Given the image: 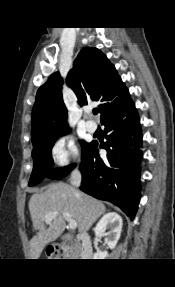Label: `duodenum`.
Returning <instances> with one entry per match:
<instances>
[{"label":"duodenum","instance_id":"1","mask_svg":"<svg viewBox=\"0 0 175 287\" xmlns=\"http://www.w3.org/2000/svg\"><path fill=\"white\" fill-rule=\"evenodd\" d=\"M69 239H73V237H68ZM80 250L79 253L84 258H89L92 255L90 237L87 234H81L77 237Z\"/></svg>","mask_w":175,"mask_h":287}]
</instances>
